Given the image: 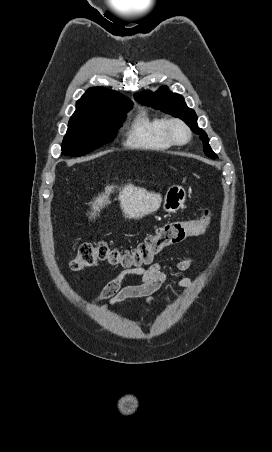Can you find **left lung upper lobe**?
I'll return each mask as SVG.
<instances>
[{
  "label": "left lung upper lobe",
  "instance_id": "1",
  "mask_svg": "<svg viewBox=\"0 0 272 452\" xmlns=\"http://www.w3.org/2000/svg\"><path fill=\"white\" fill-rule=\"evenodd\" d=\"M134 97L141 104L160 109L174 117L182 119L193 132L201 135L200 138L203 141V149L206 156L213 159L217 158V155L211 150L207 134L197 125L195 111L187 107L181 95L172 93L166 86H162L156 92L144 91L135 94Z\"/></svg>",
  "mask_w": 272,
  "mask_h": 452
}]
</instances>
